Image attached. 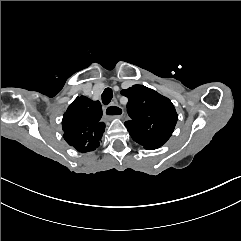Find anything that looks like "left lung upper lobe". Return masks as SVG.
Returning a JSON list of instances; mask_svg holds the SVG:
<instances>
[{"mask_svg": "<svg viewBox=\"0 0 241 241\" xmlns=\"http://www.w3.org/2000/svg\"><path fill=\"white\" fill-rule=\"evenodd\" d=\"M121 94L128 98L127 112L131 119L125 126L132 139L147 150L162 146L172 135L178 119L172 102L142 85L122 90Z\"/></svg>", "mask_w": 241, "mask_h": 241, "instance_id": "1", "label": "left lung upper lobe"}]
</instances>
